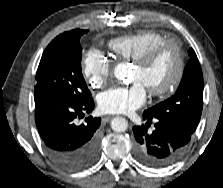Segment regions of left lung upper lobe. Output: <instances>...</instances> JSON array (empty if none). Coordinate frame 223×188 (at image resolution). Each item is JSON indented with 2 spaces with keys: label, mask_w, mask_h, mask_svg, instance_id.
Masks as SVG:
<instances>
[{
  "label": "left lung upper lobe",
  "mask_w": 223,
  "mask_h": 188,
  "mask_svg": "<svg viewBox=\"0 0 223 188\" xmlns=\"http://www.w3.org/2000/svg\"><path fill=\"white\" fill-rule=\"evenodd\" d=\"M188 53L190 59L184 69L176 93L169 99L144 111V113L192 135L197 128L202 113L203 75L194 50L191 48Z\"/></svg>",
  "instance_id": "5c2ea615"
}]
</instances>
